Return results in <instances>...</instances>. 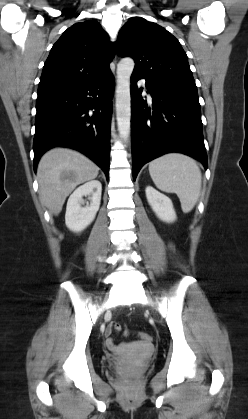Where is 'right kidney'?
Wrapping results in <instances>:
<instances>
[{
    "label": "right kidney",
    "instance_id": "right-kidney-1",
    "mask_svg": "<svg viewBox=\"0 0 248 419\" xmlns=\"http://www.w3.org/2000/svg\"><path fill=\"white\" fill-rule=\"evenodd\" d=\"M102 185L98 180L89 181L78 187L69 197L65 223L73 232H81L95 219L100 207ZM89 196L90 204L82 207L83 197Z\"/></svg>",
    "mask_w": 248,
    "mask_h": 419
}]
</instances>
